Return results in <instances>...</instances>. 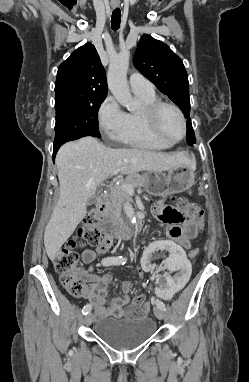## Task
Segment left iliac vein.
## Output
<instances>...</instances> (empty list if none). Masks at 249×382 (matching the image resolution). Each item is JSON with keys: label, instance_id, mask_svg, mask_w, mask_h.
Returning <instances> with one entry per match:
<instances>
[{"label": "left iliac vein", "instance_id": "4c4485c4", "mask_svg": "<svg viewBox=\"0 0 249 382\" xmlns=\"http://www.w3.org/2000/svg\"><path fill=\"white\" fill-rule=\"evenodd\" d=\"M154 314L158 319H164L165 312L164 310L160 309L158 306L154 307Z\"/></svg>", "mask_w": 249, "mask_h": 382}]
</instances>
